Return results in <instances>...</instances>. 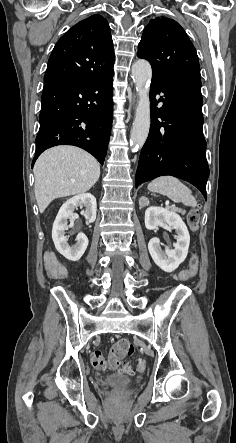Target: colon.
<instances>
[{
    "mask_svg": "<svg viewBox=\"0 0 236 443\" xmlns=\"http://www.w3.org/2000/svg\"><path fill=\"white\" fill-rule=\"evenodd\" d=\"M199 208H192L187 215V222L191 230L196 231L199 224ZM199 258L193 253L189 260V267L179 274V280L186 281L194 277L198 271ZM134 352L132 343L125 338L116 340L110 350V354L105 357L101 352H94L91 355V363L97 370H126L129 371L130 366L125 359L130 357ZM137 370L143 372L146 370V364L139 361Z\"/></svg>",
    "mask_w": 236,
    "mask_h": 443,
    "instance_id": "obj_1",
    "label": "colon"
}]
</instances>
